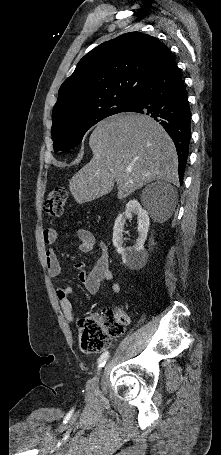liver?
I'll return each mask as SVG.
<instances>
[{"label":"liver","instance_id":"1","mask_svg":"<svg viewBox=\"0 0 221 455\" xmlns=\"http://www.w3.org/2000/svg\"><path fill=\"white\" fill-rule=\"evenodd\" d=\"M89 146L92 159L69 182L79 204L108 194L115 183L118 199L154 180L178 183L174 143L151 117L135 113L110 116L97 124Z\"/></svg>","mask_w":221,"mask_h":455}]
</instances>
